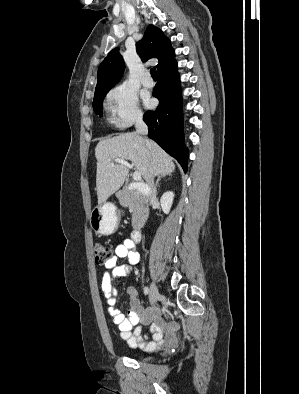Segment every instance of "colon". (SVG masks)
I'll return each mask as SVG.
<instances>
[{"label": "colon", "mask_w": 299, "mask_h": 394, "mask_svg": "<svg viewBox=\"0 0 299 394\" xmlns=\"http://www.w3.org/2000/svg\"><path fill=\"white\" fill-rule=\"evenodd\" d=\"M95 260L100 265H105L112 259V251L106 243H96L94 246Z\"/></svg>", "instance_id": "obj_1"}]
</instances>
